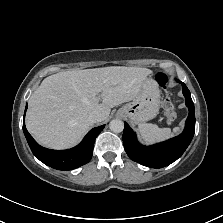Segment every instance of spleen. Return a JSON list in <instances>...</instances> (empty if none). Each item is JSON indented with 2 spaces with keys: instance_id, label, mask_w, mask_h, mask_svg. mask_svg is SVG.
Here are the masks:
<instances>
[{
  "instance_id": "3e777b00",
  "label": "spleen",
  "mask_w": 223,
  "mask_h": 223,
  "mask_svg": "<svg viewBox=\"0 0 223 223\" xmlns=\"http://www.w3.org/2000/svg\"><path fill=\"white\" fill-rule=\"evenodd\" d=\"M184 125L181 127H175L171 131L170 128L159 129L155 124H140L138 125V131L143 141L148 145H154L167 141L179 133H181Z\"/></svg>"
}]
</instances>
